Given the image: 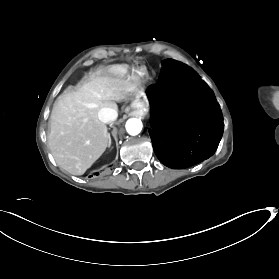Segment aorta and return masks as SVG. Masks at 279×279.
Here are the masks:
<instances>
[{"label": "aorta", "mask_w": 279, "mask_h": 279, "mask_svg": "<svg viewBox=\"0 0 279 279\" xmlns=\"http://www.w3.org/2000/svg\"><path fill=\"white\" fill-rule=\"evenodd\" d=\"M126 131L128 134L135 136L138 135L142 130V122L137 118H131L126 122Z\"/></svg>", "instance_id": "1"}]
</instances>
